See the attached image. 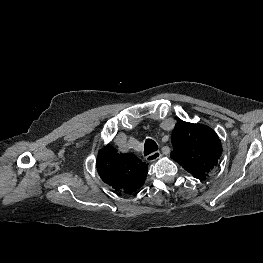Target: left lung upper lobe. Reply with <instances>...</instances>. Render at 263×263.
<instances>
[{
    "mask_svg": "<svg viewBox=\"0 0 263 263\" xmlns=\"http://www.w3.org/2000/svg\"><path fill=\"white\" fill-rule=\"evenodd\" d=\"M171 158L193 177L205 179L222 154L221 141L210 127L179 120L172 132Z\"/></svg>",
    "mask_w": 263,
    "mask_h": 263,
    "instance_id": "1",
    "label": "left lung upper lobe"
}]
</instances>
